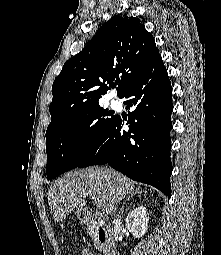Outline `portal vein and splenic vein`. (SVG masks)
Segmentation results:
<instances>
[{"label": "portal vein and splenic vein", "instance_id": "portal-vein-and-splenic-vein-1", "mask_svg": "<svg viewBox=\"0 0 221 255\" xmlns=\"http://www.w3.org/2000/svg\"><path fill=\"white\" fill-rule=\"evenodd\" d=\"M92 198L96 200L97 207L102 208V201L97 198V196L93 195Z\"/></svg>", "mask_w": 221, "mask_h": 255}]
</instances>
